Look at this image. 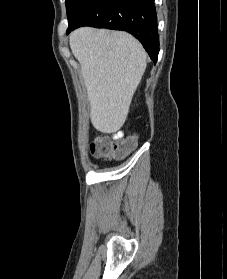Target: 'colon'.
<instances>
[{"label": "colon", "instance_id": "colon-1", "mask_svg": "<svg viewBox=\"0 0 227 279\" xmlns=\"http://www.w3.org/2000/svg\"><path fill=\"white\" fill-rule=\"evenodd\" d=\"M137 144V137L132 136L119 142H108L105 139H99L90 146V153L97 159H108L111 157H125Z\"/></svg>", "mask_w": 227, "mask_h": 279}]
</instances>
